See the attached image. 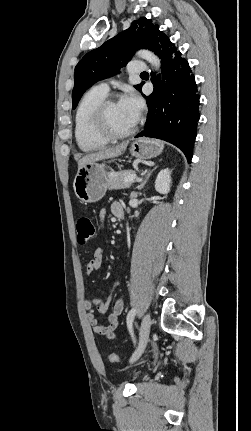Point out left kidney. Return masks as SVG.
I'll return each mask as SVG.
<instances>
[{
  "label": "left kidney",
  "mask_w": 251,
  "mask_h": 431,
  "mask_svg": "<svg viewBox=\"0 0 251 431\" xmlns=\"http://www.w3.org/2000/svg\"><path fill=\"white\" fill-rule=\"evenodd\" d=\"M171 187V170L163 169L159 172L155 181V190L161 194H167Z\"/></svg>",
  "instance_id": "obj_1"
}]
</instances>
